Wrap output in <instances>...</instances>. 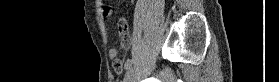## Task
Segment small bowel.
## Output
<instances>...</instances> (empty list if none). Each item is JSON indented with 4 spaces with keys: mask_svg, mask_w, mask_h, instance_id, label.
I'll list each match as a JSON object with an SVG mask.
<instances>
[{
    "mask_svg": "<svg viewBox=\"0 0 279 82\" xmlns=\"http://www.w3.org/2000/svg\"><path fill=\"white\" fill-rule=\"evenodd\" d=\"M97 5L99 8L102 9V15L107 18L111 14V10L104 6V3L102 1H98ZM118 30H119V35H120V40L121 44L124 48L129 49L130 44H131V36L129 32V26L127 22L125 21V25L123 27L118 25ZM109 58L113 62V69L116 74H121L124 68V65L127 61H129V58L125 59V63L121 62L118 59V50L116 48H110L108 51Z\"/></svg>",
    "mask_w": 279,
    "mask_h": 82,
    "instance_id": "obj_1",
    "label": "small bowel"
}]
</instances>
